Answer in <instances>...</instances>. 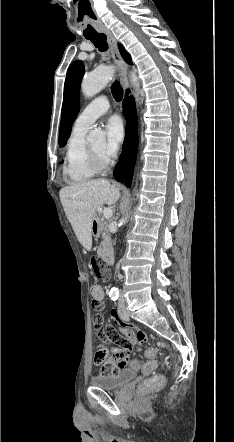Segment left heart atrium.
Listing matches in <instances>:
<instances>
[{
  "label": "left heart atrium",
  "mask_w": 234,
  "mask_h": 442,
  "mask_svg": "<svg viewBox=\"0 0 234 442\" xmlns=\"http://www.w3.org/2000/svg\"><path fill=\"white\" fill-rule=\"evenodd\" d=\"M106 144L104 152L107 156H113L118 150L124 138V125L117 115L110 116L105 123Z\"/></svg>",
  "instance_id": "39dd6f15"
}]
</instances>
